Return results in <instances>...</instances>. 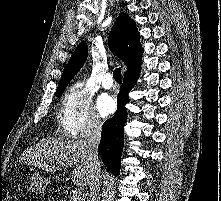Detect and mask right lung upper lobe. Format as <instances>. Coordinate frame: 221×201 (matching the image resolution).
<instances>
[{
	"instance_id": "right-lung-upper-lobe-1",
	"label": "right lung upper lobe",
	"mask_w": 221,
	"mask_h": 201,
	"mask_svg": "<svg viewBox=\"0 0 221 201\" xmlns=\"http://www.w3.org/2000/svg\"><path fill=\"white\" fill-rule=\"evenodd\" d=\"M110 50L128 67L124 75L141 68L143 48L140 44V34L136 23L126 13H120L108 38ZM88 54V47L82 41L72 54L62 74L56 92L64 91L70 80L83 66Z\"/></svg>"
}]
</instances>
